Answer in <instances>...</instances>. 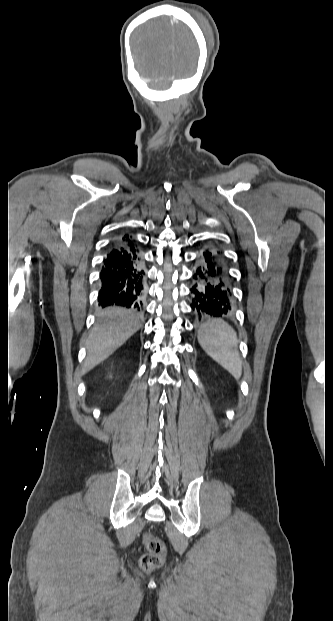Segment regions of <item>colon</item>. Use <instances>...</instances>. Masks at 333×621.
Masks as SVG:
<instances>
[{
	"mask_svg": "<svg viewBox=\"0 0 333 621\" xmlns=\"http://www.w3.org/2000/svg\"><path fill=\"white\" fill-rule=\"evenodd\" d=\"M143 543L147 550L140 559V567L145 572H151L163 566L166 548L164 542L149 533L144 534Z\"/></svg>",
	"mask_w": 333,
	"mask_h": 621,
	"instance_id": "5ec220e1",
	"label": "colon"
}]
</instances>
